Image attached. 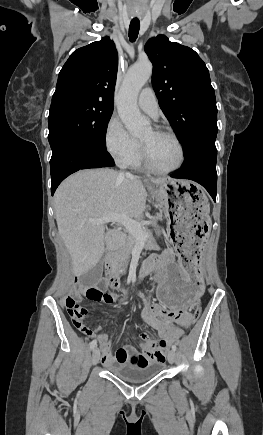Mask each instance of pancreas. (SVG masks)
<instances>
[{"label": "pancreas", "mask_w": 263, "mask_h": 435, "mask_svg": "<svg viewBox=\"0 0 263 435\" xmlns=\"http://www.w3.org/2000/svg\"><path fill=\"white\" fill-rule=\"evenodd\" d=\"M149 234V237L146 239V246L149 249L157 248L156 244H154L153 238L151 237V232L149 230H144ZM137 243V238L129 232L126 236L124 243L122 246L116 251L114 257L112 259V269L115 271H124L128 265L129 259L131 257L132 250Z\"/></svg>", "instance_id": "1"}]
</instances>
